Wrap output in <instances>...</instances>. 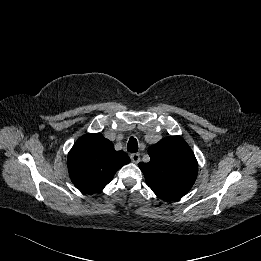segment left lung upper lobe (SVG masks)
Wrapping results in <instances>:
<instances>
[{
    "label": "left lung upper lobe",
    "mask_w": 261,
    "mask_h": 261,
    "mask_svg": "<svg viewBox=\"0 0 261 261\" xmlns=\"http://www.w3.org/2000/svg\"><path fill=\"white\" fill-rule=\"evenodd\" d=\"M150 161L139 163L147 185L160 198L174 200L193 186L198 164L194 153L180 136L161 139L149 147Z\"/></svg>",
    "instance_id": "1"
}]
</instances>
